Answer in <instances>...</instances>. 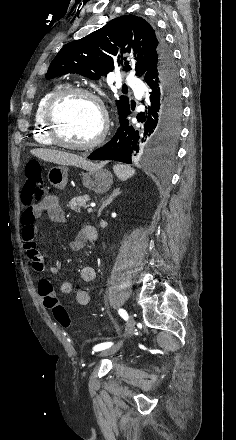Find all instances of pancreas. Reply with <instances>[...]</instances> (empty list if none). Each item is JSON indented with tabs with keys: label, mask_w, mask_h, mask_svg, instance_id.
I'll use <instances>...</instances> for the list:
<instances>
[{
	"label": "pancreas",
	"mask_w": 236,
	"mask_h": 440,
	"mask_svg": "<svg viewBox=\"0 0 236 440\" xmlns=\"http://www.w3.org/2000/svg\"><path fill=\"white\" fill-rule=\"evenodd\" d=\"M89 200L88 195H81L70 200L68 207L76 212H80L81 208H86V202Z\"/></svg>",
	"instance_id": "obj_1"
}]
</instances>
